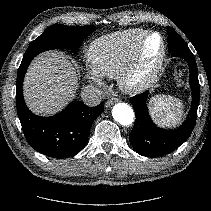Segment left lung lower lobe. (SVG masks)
<instances>
[{"label":"left lung lower lobe","instance_id":"obj_1","mask_svg":"<svg viewBox=\"0 0 211 211\" xmlns=\"http://www.w3.org/2000/svg\"><path fill=\"white\" fill-rule=\"evenodd\" d=\"M182 42V38L178 34L170 33L168 35L169 52L172 53V56L184 59L189 65L192 109L182 126L173 130H166L157 127L150 119L146 105L148 91L134 96L131 99V104L135 110L136 120L129 134V140L135 151L140 155L157 157L170 153L183 144L194 129L200 100L198 69L194 55L188 47L182 45Z\"/></svg>","mask_w":211,"mask_h":211}]
</instances>
